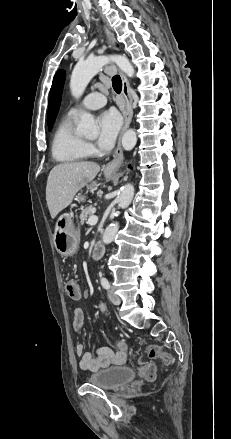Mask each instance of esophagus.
<instances>
[{
    "mask_svg": "<svg viewBox=\"0 0 231 439\" xmlns=\"http://www.w3.org/2000/svg\"><path fill=\"white\" fill-rule=\"evenodd\" d=\"M105 34L107 37V42L109 44V47L112 49H115V41H114V35L113 33H111V31L107 28H105ZM121 80H122V93L126 102V107L124 110V125L123 128L121 130L120 136H119V140H118V144L115 150V153L113 155V158L110 162L107 163V165L105 166V171L109 172V173H115L119 170L122 161H123V151H122V147H121V136L124 133V131L129 127L131 120H132V116H133V109H132V97L130 95V90H129V82L126 78V76L124 75L123 72L119 71Z\"/></svg>",
    "mask_w": 231,
    "mask_h": 439,
    "instance_id": "esophagus-1",
    "label": "esophagus"
}]
</instances>
